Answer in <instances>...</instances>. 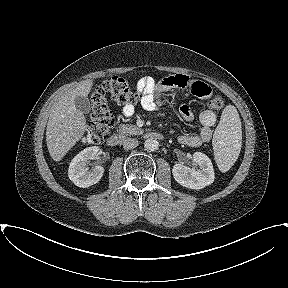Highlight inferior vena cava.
<instances>
[{
	"instance_id": "inferior-vena-cava-1",
	"label": "inferior vena cava",
	"mask_w": 288,
	"mask_h": 288,
	"mask_svg": "<svg viewBox=\"0 0 288 288\" xmlns=\"http://www.w3.org/2000/svg\"><path fill=\"white\" fill-rule=\"evenodd\" d=\"M138 140L134 138H128L123 142V148L125 150H130L138 146Z\"/></svg>"
}]
</instances>
